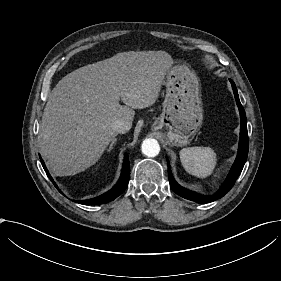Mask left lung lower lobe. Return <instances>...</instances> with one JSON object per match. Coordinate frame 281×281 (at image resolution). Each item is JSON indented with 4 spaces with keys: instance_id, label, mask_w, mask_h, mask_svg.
Masks as SVG:
<instances>
[{
    "instance_id": "obj_1",
    "label": "left lung lower lobe",
    "mask_w": 281,
    "mask_h": 281,
    "mask_svg": "<svg viewBox=\"0 0 281 281\" xmlns=\"http://www.w3.org/2000/svg\"><path fill=\"white\" fill-rule=\"evenodd\" d=\"M230 82H231L233 92L235 95V99H236V103H237V106H238L239 112H240V118H241L240 141H239L237 158H236L234 164L232 165L231 170H230L225 182L220 187V189L213 195L204 196V195L195 193L193 191H190L188 189L181 187L174 180L173 175L171 173L169 161L167 160L168 178H169L170 187L172 188V190L179 196H181L185 199L197 202V203H209V202L218 200V199L222 198L224 195H226V193L229 192L231 190V188L233 187V185H234L235 181L237 180L238 176L240 175V173L243 169V166L246 162V159H247L249 142H248V132H247V125H246V114H245L244 108L242 107V105L240 103L236 86L231 79H230Z\"/></svg>"
}]
</instances>
